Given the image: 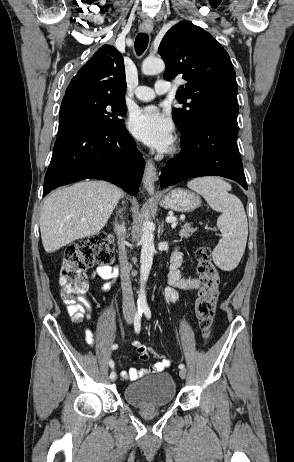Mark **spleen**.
<instances>
[{"label":"spleen","mask_w":294,"mask_h":462,"mask_svg":"<svg viewBox=\"0 0 294 462\" xmlns=\"http://www.w3.org/2000/svg\"><path fill=\"white\" fill-rule=\"evenodd\" d=\"M187 186L201 194L213 210L221 212L217 226L222 238L213 250L212 258L222 270H233L243 256L248 237L247 217L242 202L228 193L231 185L219 177L195 178Z\"/></svg>","instance_id":"3e777b00"}]
</instances>
